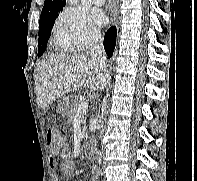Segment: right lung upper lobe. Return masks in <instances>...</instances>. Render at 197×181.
Masks as SVG:
<instances>
[{
  "label": "right lung upper lobe",
  "instance_id": "cb5924a9",
  "mask_svg": "<svg viewBox=\"0 0 197 181\" xmlns=\"http://www.w3.org/2000/svg\"><path fill=\"white\" fill-rule=\"evenodd\" d=\"M66 0H45L41 16L59 13L65 6Z\"/></svg>",
  "mask_w": 197,
  "mask_h": 181
}]
</instances>
